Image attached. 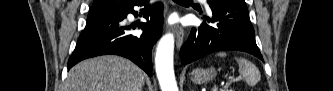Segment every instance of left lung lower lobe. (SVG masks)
Wrapping results in <instances>:
<instances>
[{"mask_svg": "<svg viewBox=\"0 0 333 91\" xmlns=\"http://www.w3.org/2000/svg\"><path fill=\"white\" fill-rule=\"evenodd\" d=\"M209 5L213 16L204 19L215 25L204 22L192 29L180 51L182 63L189 64L217 51H243L263 60L245 0H214Z\"/></svg>", "mask_w": 333, "mask_h": 91, "instance_id": "1", "label": "left lung lower lobe"}]
</instances>
